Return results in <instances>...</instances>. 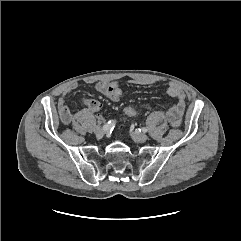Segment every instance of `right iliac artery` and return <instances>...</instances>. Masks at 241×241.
I'll use <instances>...</instances> for the list:
<instances>
[{"mask_svg": "<svg viewBox=\"0 0 241 241\" xmlns=\"http://www.w3.org/2000/svg\"><path fill=\"white\" fill-rule=\"evenodd\" d=\"M114 127H115V121L110 120L103 126V129L105 131H112Z\"/></svg>", "mask_w": 241, "mask_h": 241, "instance_id": "82829eb1", "label": "right iliac artery"}]
</instances>
